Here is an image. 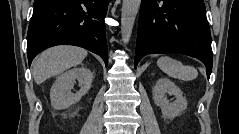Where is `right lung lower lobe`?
<instances>
[{
  "label": "right lung lower lobe",
  "instance_id": "right-lung-lower-lobe-1",
  "mask_svg": "<svg viewBox=\"0 0 239 134\" xmlns=\"http://www.w3.org/2000/svg\"><path fill=\"white\" fill-rule=\"evenodd\" d=\"M110 0H34L27 34L29 65L48 47L67 44L88 49L108 64L105 22Z\"/></svg>",
  "mask_w": 239,
  "mask_h": 134
}]
</instances>
